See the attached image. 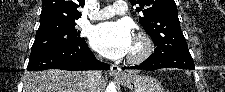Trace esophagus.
<instances>
[{
  "label": "esophagus",
  "instance_id": "esophagus-1",
  "mask_svg": "<svg viewBox=\"0 0 225 92\" xmlns=\"http://www.w3.org/2000/svg\"><path fill=\"white\" fill-rule=\"evenodd\" d=\"M110 74L111 75H116V76H121V75H123V72H122L121 68L118 65L111 64V66H110Z\"/></svg>",
  "mask_w": 225,
  "mask_h": 92
}]
</instances>
